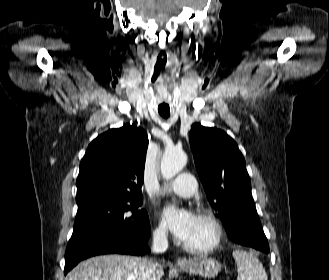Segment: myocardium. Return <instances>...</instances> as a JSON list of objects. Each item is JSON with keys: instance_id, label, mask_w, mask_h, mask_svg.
<instances>
[{"instance_id": "1", "label": "myocardium", "mask_w": 329, "mask_h": 280, "mask_svg": "<svg viewBox=\"0 0 329 280\" xmlns=\"http://www.w3.org/2000/svg\"><path fill=\"white\" fill-rule=\"evenodd\" d=\"M197 216L206 222L212 230V240L204 246H192L187 243L183 244L186 251L192 254H208L216 250L223 239V227L216 216L208 210L200 209L197 212Z\"/></svg>"}]
</instances>
